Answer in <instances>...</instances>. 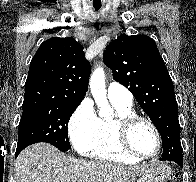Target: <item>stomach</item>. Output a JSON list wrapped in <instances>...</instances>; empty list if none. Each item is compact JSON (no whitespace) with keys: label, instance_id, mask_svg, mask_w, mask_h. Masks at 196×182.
<instances>
[{"label":"stomach","instance_id":"1","mask_svg":"<svg viewBox=\"0 0 196 182\" xmlns=\"http://www.w3.org/2000/svg\"><path fill=\"white\" fill-rule=\"evenodd\" d=\"M171 170L167 165L154 163L131 175L125 182H167Z\"/></svg>","mask_w":196,"mask_h":182}]
</instances>
